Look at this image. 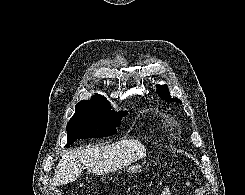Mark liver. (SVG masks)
Segmentation results:
<instances>
[{
    "mask_svg": "<svg viewBox=\"0 0 245 195\" xmlns=\"http://www.w3.org/2000/svg\"><path fill=\"white\" fill-rule=\"evenodd\" d=\"M146 156V148L137 139L121 140L106 146L67 151L57 164L53 185L60 186L77 180L84 169L104 175Z\"/></svg>",
    "mask_w": 245,
    "mask_h": 195,
    "instance_id": "liver-1",
    "label": "liver"
}]
</instances>
